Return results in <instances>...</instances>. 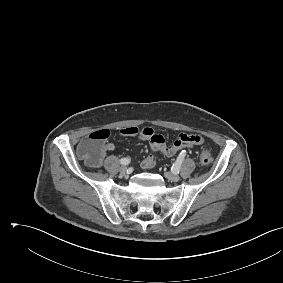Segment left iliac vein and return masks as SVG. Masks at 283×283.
Instances as JSON below:
<instances>
[{
    "label": "left iliac vein",
    "mask_w": 283,
    "mask_h": 283,
    "mask_svg": "<svg viewBox=\"0 0 283 283\" xmlns=\"http://www.w3.org/2000/svg\"><path fill=\"white\" fill-rule=\"evenodd\" d=\"M164 176H165L166 179H168L171 182H178L180 180L179 175L173 174V173H170V172H165Z\"/></svg>",
    "instance_id": "1"
}]
</instances>
